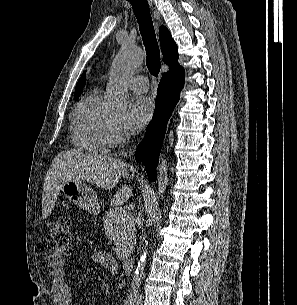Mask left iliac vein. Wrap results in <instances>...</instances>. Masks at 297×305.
Masks as SVG:
<instances>
[{
    "instance_id": "4c4485c4",
    "label": "left iliac vein",
    "mask_w": 297,
    "mask_h": 305,
    "mask_svg": "<svg viewBox=\"0 0 297 305\" xmlns=\"http://www.w3.org/2000/svg\"><path fill=\"white\" fill-rule=\"evenodd\" d=\"M135 305H141V304H139V303H136Z\"/></svg>"
}]
</instances>
